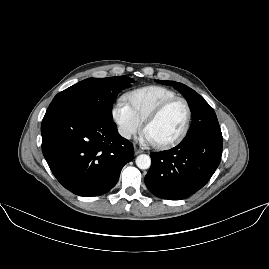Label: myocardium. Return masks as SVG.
Segmentation results:
<instances>
[{"mask_svg": "<svg viewBox=\"0 0 269 269\" xmlns=\"http://www.w3.org/2000/svg\"><path fill=\"white\" fill-rule=\"evenodd\" d=\"M177 102H182L186 108V121H185L184 127L181 130V132L172 140L165 142V143H162V144H154V143H151L150 141H148V139L146 138V132H147V129L149 128V126L154 121H156L170 106H172L173 104H175ZM191 119H192V110H191L190 103L185 98L174 97L170 100L163 102L161 105H159L155 110H153L147 116V118L144 122L142 133H143L144 138L148 142V144L150 146H152L154 149L159 150V151L168 150V149L176 146L177 144H179L185 138V136L187 135L189 128H190Z\"/></svg>", "mask_w": 269, "mask_h": 269, "instance_id": "1", "label": "myocardium"}]
</instances>
